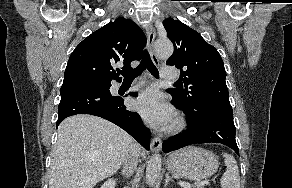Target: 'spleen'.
Returning a JSON list of instances; mask_svg holds the SVG:
<instances>
[{"mask_svg":"<svg viewBox=\"0 0 292 188\" xmlns=\"http://www.w3.org/2000/svg\"><path fill=\"white\" fill-rule=\"evenodd\" d=\"M223 157L227 169L221 178V187L240 188V176L235 158L228 153H223Z\"/></svg>","mask_w":292,"mask_h":188,"instance_id":"1","label":"spleen"}]
</instances>
